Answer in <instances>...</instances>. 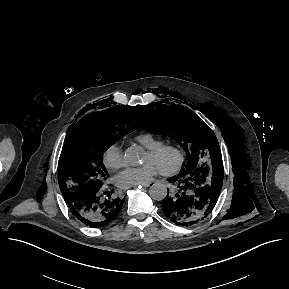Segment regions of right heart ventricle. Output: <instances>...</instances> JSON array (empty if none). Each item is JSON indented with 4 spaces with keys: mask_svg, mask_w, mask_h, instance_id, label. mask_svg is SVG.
<instances>
[{
    "mask_svg": "<svg viewBox=\"0 0 289 289\" xmlns=\"http://www.w3.org/2000/svg\"><path fill=\"white\" fill-rule=\"evenodd\" d=\"M135 140L146 149L154 148L164 143V140L151 132H140L135 136Z\"/></svg>",
    "mask_w": 289,
    "mask_h": 289,
    "instance_id": "e07e8e85",
    "label": "right heart ventricle"
}]
</instances>
